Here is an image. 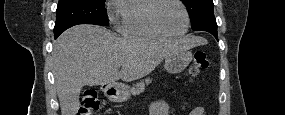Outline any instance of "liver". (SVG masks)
Segmentation results:
<instances>
[{
  "instance_id": "obj_1",
  "label": "liver",
  "mask_w": 285,
  "mask_h": 115,
  "mask_svg": "<svg viewBox=\"0 0 285 115\" xmlns=\"http://www.w3.org/2000/svg\"><path fill=\"white\" fill-rule=\"evenodd\" d=\"M203 43L202 38L190 35L163 41L132 36L118 38L104 27L87 24L66 30L55 41L52 52L62 115H76L83 86L140 79L166 57Z\"/></svg>"
}]
</instances>
